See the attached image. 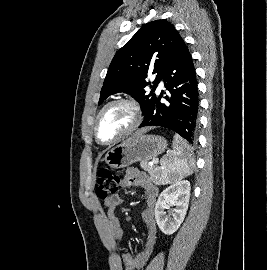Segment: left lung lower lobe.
I'll return each instance as SVG.
<instances>
[{
    "label": "left lung lower lobe",
    "instance_id": "1",
    "mask_svg": "<svg viewBox=\"0 0 267 270\" xmlns=\"http://www.w3.org/2000/svg\"><path fill=\"white\" fill-rule=\"evenodd\" d=\"M163 82L168 90L161 103L155 97L139 127L161 126L178 133L190 145L196 144L199 94L196 72L191 54L183 39L166 68Z\"/></svg>",
    "mask_w": 267,
    "mask_h": 270
}]
</instances>
